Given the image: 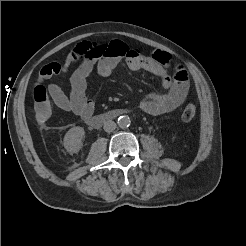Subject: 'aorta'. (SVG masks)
<instances>
[{"mask_svg":"<svg viewBox=\"0 0 246 246\" xmlns=\"http://www.w3.org/2000/svg\"><path fill=\"white\" fill-rule=\"evenodd\" d=\"M130 118L128 116H120L118 118L117 124L120 128H128L130 126Z\"/></svg>","mask_w":246,"mask_h":246,"instance_id":"obj_1","label":"aorta"}]
</instances>
